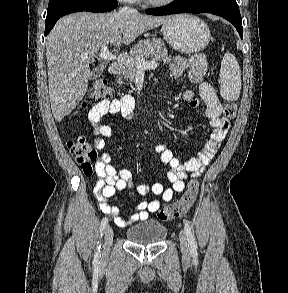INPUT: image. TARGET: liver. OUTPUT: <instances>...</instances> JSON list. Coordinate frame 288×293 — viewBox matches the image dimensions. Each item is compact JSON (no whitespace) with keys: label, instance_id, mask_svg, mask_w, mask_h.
Masks as SVG:
<instances>
[{"label":"liver","instance_id":"liver-1","mask_svg":"<svg viewBox=\"0 0 288 293\" xmlns=\"http://www.w3.org/2000/svg\"><path fill=\"white\" fill-rule=\"evenodd\" d=\"M169 19L122 10L79 12L61 18L47 36L49 98L52 114L61 121L79 104L91 79L90 64L104 45H128ZM87 57H83V54Z\"/></svg>","mask_w":288,"mask_h":293}]
</instances>
